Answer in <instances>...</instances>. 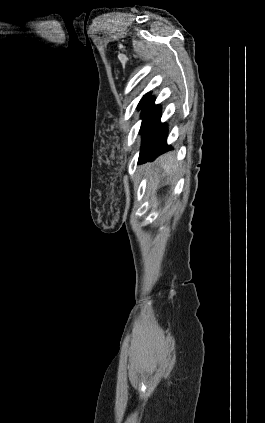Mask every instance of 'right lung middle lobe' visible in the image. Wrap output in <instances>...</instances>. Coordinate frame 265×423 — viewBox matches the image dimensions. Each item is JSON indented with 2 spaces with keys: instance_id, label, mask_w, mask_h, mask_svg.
Segmentation results:
<instances>
[{
  "instance_id": "dd1d6c3e",
  "label": "right lung middle lobe",
  "mask_w": 265,
  "mask_h": 423,
  "mask_svg": "<svg viewBox=\"0 0 265 423\" xmlns=\"http://www.w3.org/2000/svg\"><path fill=\"white\" fill-rule=\"evenodd\" d=\"M146 100H147V97H143L142 100L140 101L138 107L141 108L145 104Z\"/></svg>"
}]
</instances>
